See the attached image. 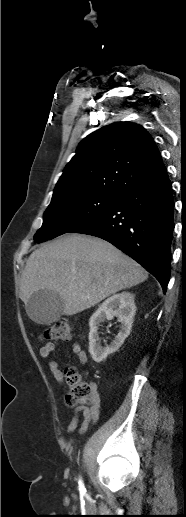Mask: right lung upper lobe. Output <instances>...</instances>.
Masks as SVG:
<instances>
[{"mask_svg":"<svg viewBox=\"0 0 186 517\" xmlns=\"http://www.w3.org/2000/svg\"><path fill=\"white\" fill-rule=\"evenodd\" d=\"M166 174L151 135L141 125L117 122L81 141L52 199L80 193L121 196Z\"/></svg>","mask_w":186,"mask_h":517,"instance_id":"obj_1","label":"right lung upper lobe"}]
</instances>
